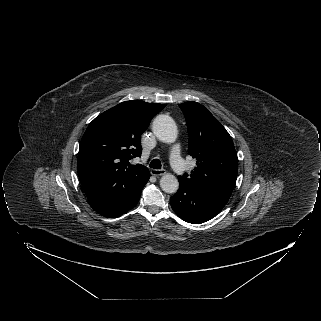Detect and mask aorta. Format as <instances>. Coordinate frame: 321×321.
<instances>
[{"label":"aorta","instance_id":"aorta-1","mask_svg":"<svg viewBox=\"0 0 321 321\" xmlns=\"http://www.w3.org/2000/svg\"><path fill=\"white\" fill-rule=\"evenodd\" d=\"M152 131L164 143H174L177 139L176 123L168 115L157 116L153 121ZM160 187L166 193H175L179 188L178 179L170 173L164 174L160 179Z\"/></svg>","mask_w":321,"mask_h":321}]
</instances>
